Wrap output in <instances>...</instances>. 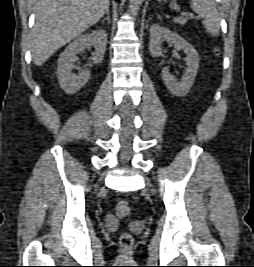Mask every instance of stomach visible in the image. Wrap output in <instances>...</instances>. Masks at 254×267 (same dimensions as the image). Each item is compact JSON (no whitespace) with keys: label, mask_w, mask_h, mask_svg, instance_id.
I'll return each instance as SVG.
<instances>
[{"label":"stomach","mask_w":254,"mask_h":267,"mask_svg":"<svg viewBox=\"0 0 254 267\" xmlns=\"http://www.w3.org/2000/svg\"><path fill=\"white\" fill-rule=\"evenodd\" d=\"M158 2H162L163 0H157Z\"/></svg>","instance_id":"obj_1"}]
</instances>
